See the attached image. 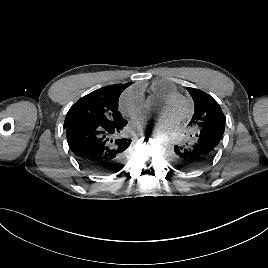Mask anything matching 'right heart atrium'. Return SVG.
<instances>
[{
    "label": "right heart atrium",
    "instance_id": "right-heart-atrium-1",
    "mask_svg": "<svg viewBox=\"0 0 268 268\" xmlns=\"http://www.w3.org/2000/svg\"><path fill=\"white\" fill-rule=\"evenodd\" d=\"M119 108L125 116L141 113L145 108L141 91L135 88L127 89L119 99Z\"/></svg>",
    "mask_w": 268,
    "mask_h": 268
}]
</instances>
